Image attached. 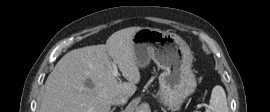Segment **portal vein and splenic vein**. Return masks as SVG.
Returning a JSON list of instances; mask_svg holds the SVG:
<instances>
[{"mask_svg":"<svg viewBox=\"0 0 270 112\" xmlns=\"http://www.w3.org/2000/svg\"><path fill=\"white\" fill-rule=\"evenodd\" d=\"M113 75L116 78L119 76V72H118L117 66L115 64H113Z\"/></svg>","mask_w":270,"mask_h":112,"instance_id":"18ae733b","label":"portal vein and splenic vein"}]
</instances>
